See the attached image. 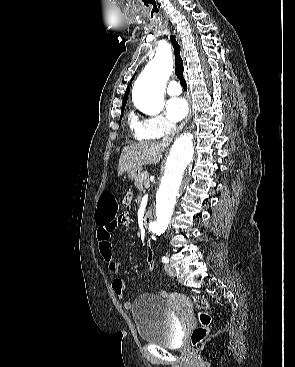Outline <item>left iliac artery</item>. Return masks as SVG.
I'll list each match as a JSON object with an SVG mask.
<instances>
[{
	"mask_svg": "<svg viewBox=\"0 0 295 367\" xmlns=\"http://www.w3.org/2000/svg\"><path fill=\"white\" fill-rule=\"evenodd\" d=\"M162 262L163 263H169V258L166 257V256L162 257Z\"/></svg>",
	"mask_w": 295,
	"mask_h": 367,
	"instance_id": "left-iliac-artery-1",
	"label": "left iliac artery"
}]
</instances>
